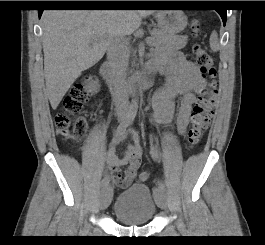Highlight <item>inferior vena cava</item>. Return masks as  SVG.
<instances>
[{
	"label": "inferior vena cava",
	"instance_id": "inferior-vena-cava-1",
	"mask_svg": "<svg viewBox=\"0 0 265 245\" xmlns=\"http://www.w3.org/2000/svg\"><path fill=\"white\" fill-rule=\"evenodd\" d=\"M107 56L112 62L113 75L117 83L114 94V102L118 114H125L129 101L125 91L126 71L129 61V50L123 37H114L107 49Z\"/></svg>",
	"mask_w": 265,
	"mask_h": 245
}]
</instances>
